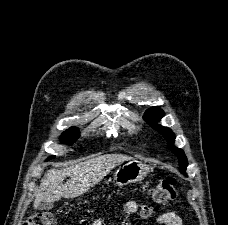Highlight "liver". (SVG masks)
Segmentation results:
<instances>
[{
    "mask_svg": "<svg viewBox=\"0 0 228 225\" xmlns=\"http://www.w3.org/2000/svg\"><path fill=\"white\" fill-rule=\"evenodd\" d=\"M131 161L125 155H101L77 165H70L66 169H50L41 179L38 193L35 195L34 209H39L40 203H52L64 199H75L87 193L89 189L98 185L114 167ZM66 177H70L64 183Z\"/></svg>",
    "mask_w": 228,
    "mask_h": 225,
    "instance_id": "6515ba94",
    "label": "liver"
}]
</instances>
